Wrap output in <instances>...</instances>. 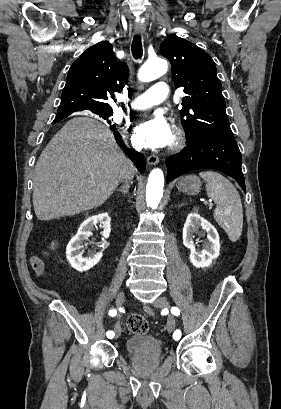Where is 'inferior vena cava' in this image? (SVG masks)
Segmentation results:
<instances>
[{"label": "inferior vena cava", "instance_id": "obj_1", "mask_svg": "<svg viewBox=\"0 0 281 409\" xmlns=\"http://www.w3.org/2000/svg\"><path fill=\"white\" fill-rule=\"evenodd\" d=\"M127 166L128 168H130V170H126V172H122V178L124 182H129V180H131V178H133L134 176L133 162H131V160H128Z\"/></svg>", "mask_w": 281, "mask_h": 409}]
</instances>
